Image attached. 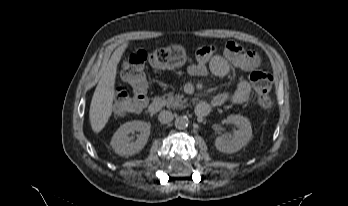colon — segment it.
I'll list each match as a JSON object with an SVG mask.
<instances>
[{
	"label": "colon",
	"mask_w": 348,
	"mask_h": 206,
	"mask_svg": "<svg viewBox=\"0 0 348 206\" xmlns=\"http://www.w3.org/2000/svg\"><path fill=\"white\" fill-rule=\"evenodd\" d=\"M211 47L215 50L213 46ZM196 56H199L198 51ZM185 61L184 50L177 46H168L150 52L138 49L130 53L122 65V77L128 84L129 90L117 92L114 102L115 110L121 114H135L143 109L147 101V79L144 73L147 63L157 69L169 70L180 67ZM249 81L260 108L270 109L272 106L273 76L256 70L250 73Z\"/></svg>",
	"instance_id": "1"
}]
</instances>
